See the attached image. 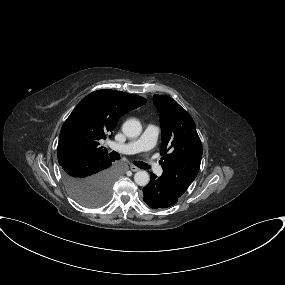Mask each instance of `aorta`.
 <instances>
[{
  "mask_svg": "<svg viewBox=\"0 0 285 285\" xmlns=\"http://www.w3.org/2000/svg\"><path fill=\"white\" fill-rule=\"evenodd\" d=\"M123 133L130 138L138 137L142 132V125L137 119H129L122 126ZM150 176L144 171H138L134 175V181L139 186H146L149 183Z\"/></svg>",
  "mask_w": 285,
  "mask_h": 285,
  "instance_id": "762f6f07",
  "label": "aorta"
}]
</instances>
